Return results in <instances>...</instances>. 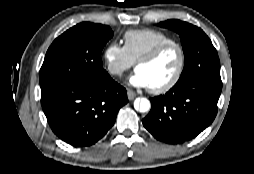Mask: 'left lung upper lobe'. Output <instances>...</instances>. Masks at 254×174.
Instances as JSON below:
<instances>
[{"instance_id":"obj_1","label":"left lung upper lobe","mask_w":254,"mask_h":174,"mask_svg":"<svg viewBox=\"0 0 254 174\" xmlns=\"http://www.w3.org/2000/svg\"><path fill=\"white\" fill-rule=\"evenodd\" d=\"M173 29L180 36L185 65L177 86L203 78H220V61L211 40L200 28L176 19L158 24Z\"/></svg>"}]
</instances>
